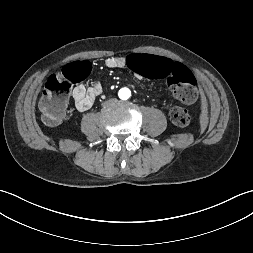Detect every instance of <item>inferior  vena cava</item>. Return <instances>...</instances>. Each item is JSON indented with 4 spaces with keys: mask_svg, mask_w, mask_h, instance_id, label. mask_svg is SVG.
<instances>
[{
    "mask_svg": "<svg viewBox=\"0 0 253 253\" xmlns=\"http://www.w3.org/2000/svg\"><path fill=\"white\" fill-rule=\"evenodd\" d=\"M117 103V98L116 97H111L110 99L107 100H102L101 101V106L102 107H107V106H112L113 104Z\"/></svg>",
    "mask_w": 253,
    "mask_h": 253,
    "instance_id": "inferior-vena-cava-1",
    "label": "inferior vena cava"
}]
</instances>
